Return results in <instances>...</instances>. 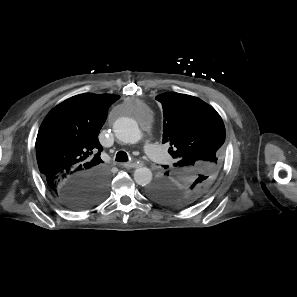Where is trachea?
Here are the masks:
<instances>
[{
	"label": "trachea",
	"instance_id": "trachea-1",
	"mask_svg": "<svg viewBox=\"0 0 297 297\" xmlns=\"http://www.w3.org/2000/svg\"><path fill=\"white\" fill-rule=\"evenodd\" d=\"M116 161L118 162H126L129 160L128 158V155L126 152L124 151H119L117 154H116V158H115Z\"/></svg>",
	"mask_w": 297,
	"mask_h": 297
}]
</instances>
